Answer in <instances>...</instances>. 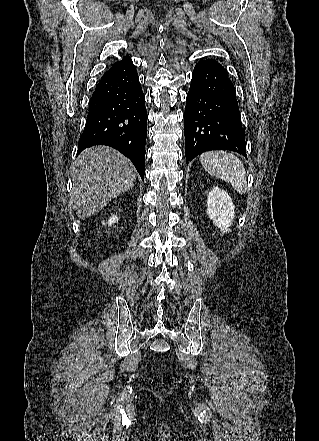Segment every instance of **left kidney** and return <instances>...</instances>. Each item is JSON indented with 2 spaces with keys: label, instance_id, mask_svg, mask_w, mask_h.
Wrapping results in <instances>:
<instances>
[{
  "label": "left kidney",
  "instance_id": "left-kidney-1",
  "mask_svg": "<svg viewBox=\"0 0 319 441\" xmlns=\"http://www.w3.org/2000/svg\"><path fill=\"white\" fill-rule=\"evenodd\" d=\"M231 197L214 186L207 196V214L221 232H227L232 225L235 212Z\"/></svg>",
  "mask_w": 319,
  "mask_h": 441
}]
</instances>
